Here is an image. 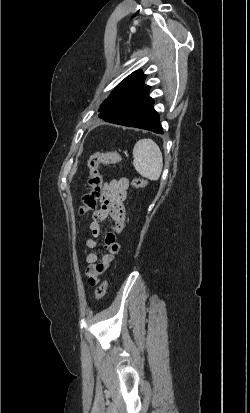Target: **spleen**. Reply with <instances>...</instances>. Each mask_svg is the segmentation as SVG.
I'll return each mask as SVG.
<instances>
[{
	"instance_id": "1",
	"label": "spleen",
	"mask_w": 250,
	"mask_h": 413,
	"mask_svg": "<svg viewBox=\"0 0 250 413\" xmlns=\"http://www.w3.org/2000/svg\"><path fill=\"white\" fill-rule=\"evenodd\" d=\"M133 166L143 177L156 181L163 168V157L159 146L151 139L136 142L133 148Z\"/></svg>"
}]
</instances>
